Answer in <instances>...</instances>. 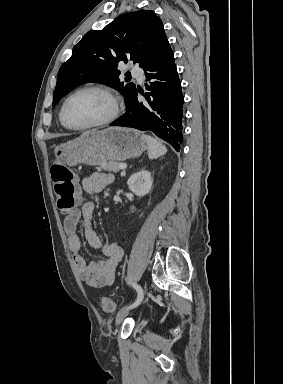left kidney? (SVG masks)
I'll return each instance as SVG.
<instances>
[{
  "label": "left kidney",
  "mask_w": 283,
  "mask_h": 384,
  "mask_svg": "<svg viewBox=\"0 0 283 384\" xmlns=\"http://www.w3.org/2000/svg\"><path fill=\"white\" fill-rule=\"evenodd\" d=\"M127 186L136 196H140V198L141 196H146L152 188L150 172H148V170H141V172L132 174L127 182ZM131 210H134V208H131Z\"/></svg>",
  "instance_id": "1"
}]
</instances>
